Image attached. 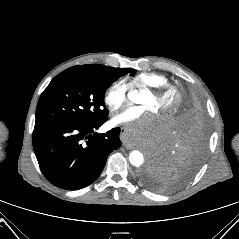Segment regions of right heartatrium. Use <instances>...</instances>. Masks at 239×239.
Instances as JSON below:
<instances>
[{
  "mask_svg": "<svg viewBox=\"0 0 239 239\" xmlns=\"http://www.w3.org/2000/svg\"><path fill=\"white\" fill-rule=\"evenodd\" d=\"M129 87L124 80L112 82L104 93V102L112 111L119 109L126 101Z\"/></svg>",
  "mask_w": 239,
  "mask_h": 239,
  "instance_id": "obj_1",
  "label": "right heart atrium"
}]
</instances>
